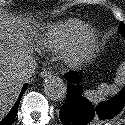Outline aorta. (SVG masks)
<instances>
[{"instance_id": "aorta-1", "label": "aorta", "mask_w": 125, "mask_h": 125, "mask_svg": "<svg viewBox=\"0 0 125 125\" xmlns=\"http://www.w3.org/2000/svg\"><path fill=\"white\" fill-rule=\"evenodd\" d=\"M44 92L51 100H62L66 97L67 86L59 77H48L44 83Z\"/></svg>"}]
</instances>
